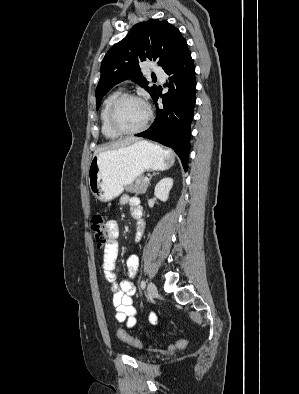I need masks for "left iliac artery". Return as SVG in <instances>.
<instances>
[{
  "instance_id": "1",
  "label": "left iliac artery",
  "mask_w": 299,
  "mask_h": 394,
  "mask_svg": "<svg viewBox=\"0 0 299 394\" xmlns=\"http://www.w3.org/2000/svg\"><path fill=\"white\" fill-rule=\"evenodd\" d=\"M140 286H141L142 289H144L145 286H146V282L144 280H142L141 283H140Z\"/></svg>"
}]
</instances>
